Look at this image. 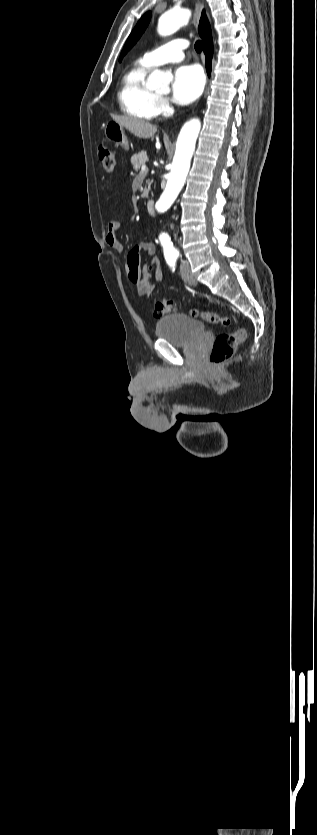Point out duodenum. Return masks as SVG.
<instances>
[{"label": "duodenum", "mask_w": 317, "mask_h": 835, "mask_svg": "<svg viewBox=\"0 0 317 835\" xmlns=\"http://www.w3.org/2000/svg\"><path fill=\"white\" fill-rule=\"evenodd\" d=\"M147 212L153 214L155 212V201L149 200L146 204Z\"/></svg>", "instance_id": "410a0bca"}]
</instances>
